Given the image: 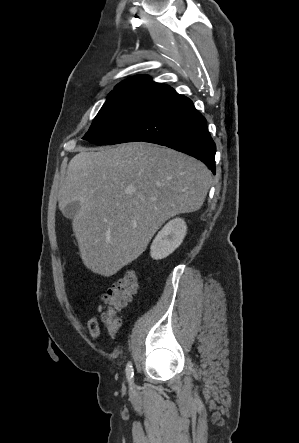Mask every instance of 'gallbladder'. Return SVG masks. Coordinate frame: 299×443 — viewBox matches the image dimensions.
I'll return each instance as SVG.
<instances>
[{
	"instance_id": "1",
	"label": "gallbladder",
	"mask_w": 299,
	"mask_h": 443,
	"mask_svg": "<svg viewBox=\"0 0 299 443\" xmlns=\"http://www.w3.org/2000/svg\"><path fill=\"white\" fill-rule=\"evenodd\" d=\"M81 209V203L79 201H72L69 204H67L64 209L62 210V213L67 218H74L76 214Z\"/></svg>"
}]
</instances>
